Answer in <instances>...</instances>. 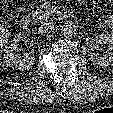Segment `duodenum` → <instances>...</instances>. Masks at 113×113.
I'll list each match as a JSON object with an SVG mask.
<instances>
[{
  "mask_svg": "<svg viewBox=\"0 0 113 113\" xmlns=\"http://www.w3.org/2000/svg\"><path fill=\"white\" fill-rule=\"evenodd\" d=\"M60 19L66 20V19H72L75 17V13L68 8H63L59 11L58 14ZM32 24V17L29 15L24 16L20 21V26L23 29H28Z\"/></svg>",
  "mask_w": 113,
  "mask_h": 113,
  "instance_id": "410a0bca",
  "label": "duodenum"
}]
</instances>
